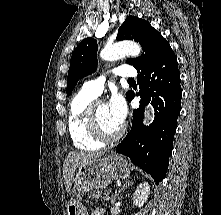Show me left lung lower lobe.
Instances as JSON below:
<instances>
[{"label": "left lung lower lobe", "mask_w": 221, "mask_h": 215, "mask_svg": "<svg viewBox=\"0 0 221 215\" xmlns=\"http://www.w3.org/2000/svg\"><path fill=\"white\" fill-rule=\"evenodd\" d=\"M137 82L140 108L133 111L132 128L116 147V152L128 156L158 184L166 175L181 110L180 73L169 43L145 69L138 71ZM133 98L132 93L128 101ZM150 101L154 106L155 119L146 127L143 125L144 107Z\"/></svg>", "instance_id": "obj_1"}]
</instances>
